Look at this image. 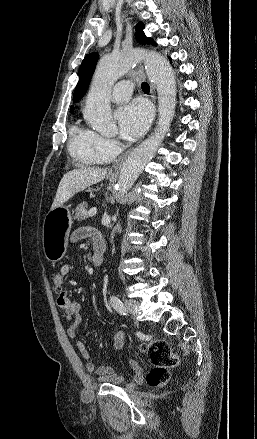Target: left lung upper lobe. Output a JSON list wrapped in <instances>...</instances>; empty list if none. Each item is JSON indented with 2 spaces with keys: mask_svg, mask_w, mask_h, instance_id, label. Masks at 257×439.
Masks as SVG:
<instances>
[{
  "mask_svg": "<svg viewBox=\"0 0 257 439\" xmlns=\"http://www.w3.org/2000/svg\"><path fill=\"white\" fill-rule=\"evenodd\" d=\"M135 29H136L137 41H139L142 44L155 45V42L151 38L145 36L143 32L144 24L142 22L137 23ZM97 60H98V53H90L82 61L79 71V81L73 95L74 102L80 100L84 96L88 88L89 82L91 80V77L94 73Z\"/></svg>",
  "mask_w": 257,
  "mask_h": 439,
  "instance_id": "1",
  "label": "left lung upper lobe"
}]
</instances>
